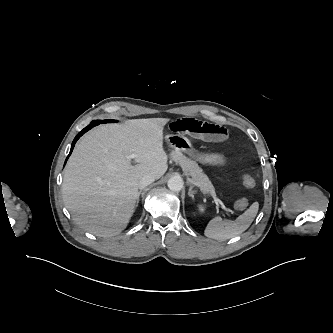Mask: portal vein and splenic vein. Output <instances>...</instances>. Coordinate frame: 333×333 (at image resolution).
<instances>
[{
	"instance_id": "1",
	"label": "portal vein and splenic vein",
	"mask_w": 333,
	"mask_h": 333,
	"mask_svg": "<svg viewBox=\"0 0 333 333\" xmlns=\"http://www.w3.org/2000/svg\"><path fill=\"white\" fill-rule=\"evenodd\" d=\"M135 157H136V155L133 154V155H131L130 158L133 159V158H135ZM212 197L214 198V201H215L216 203H218V204L222 207V209L226 212V214H227L228 216H231V215L233 214V210H231L230 208H227V207L224 205V203H223L220 199H218V198L216 197L215 194H213Z\"/></svg>"
}]
</instances>
